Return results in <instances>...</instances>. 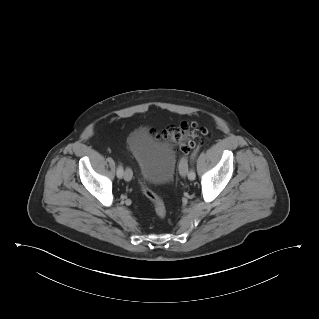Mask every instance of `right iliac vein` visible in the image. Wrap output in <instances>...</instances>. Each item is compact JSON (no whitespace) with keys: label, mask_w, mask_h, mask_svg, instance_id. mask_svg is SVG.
<instances>
[{"label":"right iliac vein","mask_w":319,"mask_h":319,"mask_svg":"<svg viewBox=\"0 0 319 319\" xmlns=\"http://www.w3.org/2000/svg\"><path fill=\"white\" fill-rule=\"evenodd\" d=\"M133 173L130 168H126L124 172V179L130 181L132 179Z\"/></svg>","instance_id":"63e3f726"}]
</instances>
